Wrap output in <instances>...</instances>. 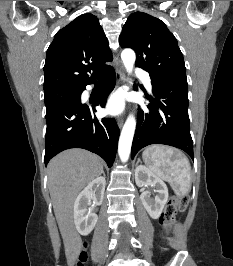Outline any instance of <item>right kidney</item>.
<instances>
[{"label": "right kidney", "mask_w": 233, "mask_h": 266, "mask_svg": "<svg viewBox=\"0 0 233 266\" xmlns=\"http://www.w3.org/2000/svg\"><path fill=\"white\" fill-rule=\"evenodd\" d=\"M106 180L97 177L77 196L74 203V222L81 235H88L94 229L98 216L93 213L95 206L101 205L104 197ZM91 200L93 204L91 205ZM91 205V207H89Z\"/></svg>", "instance_id": "1"}]
</instances>
